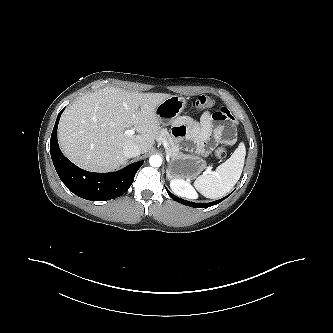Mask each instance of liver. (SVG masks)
Here are the masks:
<instances>
[{"label": "liver", "mask_w": 333, "mask_h": 333, "mask_svg": "<svg viewBox=\"0 0 333 333\" xmlns=\"http://www.w3.org/2000/svg\"><path fill=\"white\" fill-rule=\"evenodd\" d=\"M170 94L138 93L106 87L76 100L63 113L58 140L63 153L77 166L96 172L117 169L127 157L123 148L135 144L151 150L161 133L156 107ZM136 135H126L131 128Z\"/></svg>", "instance_id": "1"}]
</instances>
